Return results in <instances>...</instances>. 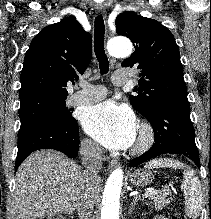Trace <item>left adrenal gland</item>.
<instances>
[{
  "label": "left adrenal gland",
  "instance_id": "obj_1",
  "mask_svg": "<svg viewBox=\"0 0 211 219\" xmlns=\"http://www.w3.org/2000/svg\"><path fill=\"white\" fill-rule=\"evenodd\" d=\"M136 202H137V197H135L134 198V200H133V202H132V204H131V207H130V209H129V211H128V214L131 216V213L133 212V210H134V206L136 205Z\"/></svg>",
  "mask_w": 211,
  "mask_h": 219
}]
</instances>
